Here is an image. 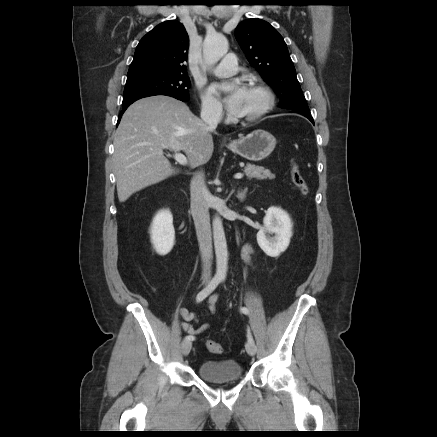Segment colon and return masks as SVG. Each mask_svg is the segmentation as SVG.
<instances>
[{
	"label": "colon",
	"mask_w": 437,
	"mask_h": 437,
	"mask_svg": "<svg viewBox=\"0 0 437 437\" xmlns=\"http://www.w3.org/2000/svg\"><path fill=\"white\" fill-rule=\"evenodd\" d=\"M291 180L302 195L307 196L309 194L308 185L296 163H293L291 166ZM206 347L209 352L214 354H221L223 352L222 345L213 340H208L206 342Z\"/></svg>",
	"instance_id": "5ec220e1"
}]
</instances>
